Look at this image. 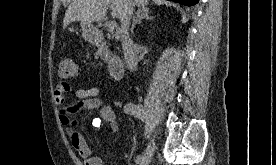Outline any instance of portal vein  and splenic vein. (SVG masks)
<instances>
[{
  "mask_svg": "<svg viewBox=\"0 0 276 165\" xmlns=\"http://www.w3.org/2000/svg\"><path fill=\"white\" fill-rule=\"evenodd\" d=\"M105 27L109 32H112L117 27V23L115 21H109L105 24Z\"/></svg>",
  "mask_w": 276,
  "mask_h": 165,
  "instance_id": "obj_1",
  "label": "portal vein and splenic vein"
}]
</instances>
